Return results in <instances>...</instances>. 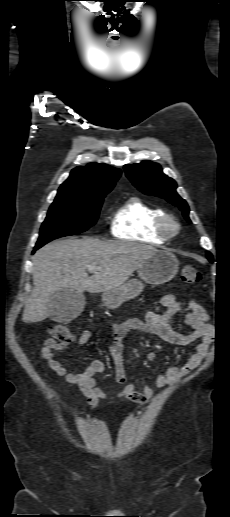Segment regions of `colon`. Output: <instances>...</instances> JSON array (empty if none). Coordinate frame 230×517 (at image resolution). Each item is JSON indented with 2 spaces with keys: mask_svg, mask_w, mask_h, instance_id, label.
I'll list each match as a JSON object with an SVG mask.
<instances>
[{
  "mask_svg": "<svg viewBox=\"0 0 230 517\" xmlns=\"http://www.w3.org/2000/svg\"><path fill=\"white\" fill-rule=\"evenodd\" d=\"M181 279L187 284H196L201 279V273L195 267L186 265L181 269ZM48 334L61 343H71L75 340L72 330L64 324L51 325Z\"/></svg>",
  "mask_w": 230,
  "mask_h": 517,
  "instance_id": "obj_1",
  "label": "colon"
}]
</instances>
